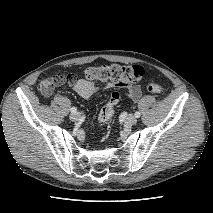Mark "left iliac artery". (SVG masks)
Returning <instances> with one entry per match:
<instances>
[{
	"label": "left iliac artery",
	"instance_id": "1",
	"mask_svg": "<svg viewBox=\"0 0 213 213\" xmlns=\"http://www.w3.org/2000/svg\"><path fill=\"white\" fill-rule=\"evenodd\" d=\"M140 116H141L140 112H138V111L135 112V117H136V118H139Z\"/></svg>",
	"mask_w": 213,
	"mask_h": 213
}]
</instances>
